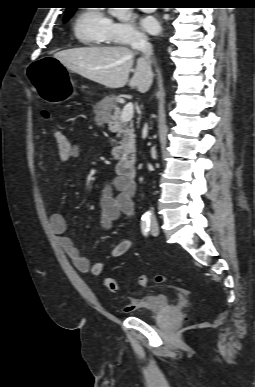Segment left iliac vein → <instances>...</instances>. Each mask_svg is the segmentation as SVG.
I'll return each instance as SVG.
<instances>
[{"label": "left iliac vein", "mask_w": 255, "mask_h": 387, "mask_svg": "<svg viewBox=\"0 0 255 387\" xmlns=\"http://www.w3.org/2000/svg\"><path fill=\"white\" fill-rule=\"evenodd\" d=\"M159 233V230H158V225L156 223H153L152 224V228H151V234L153 236H157Z\"/></svg>", "instance_id": "4c4485c4"}]
</instances>
